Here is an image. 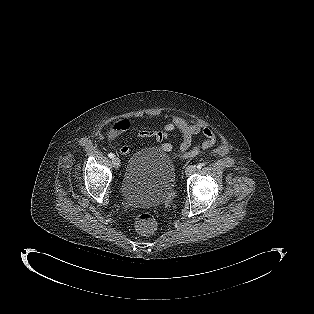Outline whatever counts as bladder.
<instances>
[{
  "label": "bladder",
  "instance_id": "31cf9c89",
  "mask_svg": "<svg viewBox=\"0 0 314 314\" xmlns=\"http://www.w3.org/2000/svg\"><path fill=\"white\" fill-rule=\"evenodd\" d=\"M175 161L155 147L141 149L129 160L121 184L124 200L135 207H156L174 189Z\"/></svg>",
  "mask_w": 314,
  "mask_h": 314
}]
</instances>
